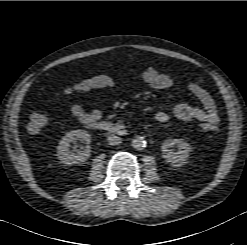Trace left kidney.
Segmentation results:
<instances>
[{
	"mask_svg": "<svg viewBox=\"0 0 247 245\" xmlns=\"http://www.w3.org/2000/svg\"><path fill=\"white\" fill-rule=\"evenodd\" d=\"M176 146L177 151L174 152L172 147ZM162 157L171 165L182 166L187 163L192 148L189 143L182 139H167L162 144Z\"/></svg>",
	"mask_w": 247,
	"mask_h": 245,
	"instance_id": "left-kidney-1",
	"label": "left kidney"
}]
</instances>
